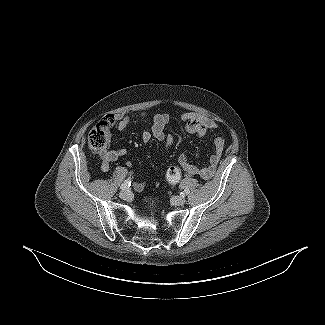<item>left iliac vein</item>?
I'll return each instance as SVG.
<instances>
[{"label": "left iliac vein", "instance_id": "4c4485c4", "mask_svg": "<svg viewBox=\"0 0 325 325\" xmlns=\"http://www.w3.org/2000/svg\"><path fill=\"white\" fill-rule=\"evenodd\" d=\"M171 202L176 206H182L185 204L186 200L183 196H173Z\"/></svg>", "mask_w": 325, "mask_h": 325}]
</instances>
